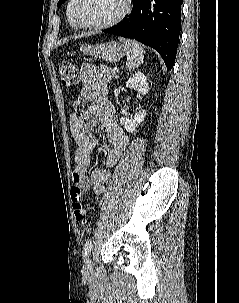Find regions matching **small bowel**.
I'll list each match as a JSON object with an SVG mask.
<instances>
[{"label": "small bowel", "instance_id": "obj_1", "mask_svg": "<svg viewBox=\"0 0 239 303\" xmlns=\"http://www.w3.org/2000/svg\"><path fill=\"white\" fill-rule=\"evenodd\" d=\"M83 86L76 98V104L89 102L90 106L80 116L71 118L72 134L76 145L74 161L76 164L72 175L73 186L83 191L101 195L111 180L110 168L115 166L129 145V138L117 124L113 107L107 97V86L99 71L91 64L81 66ZM100 125L111 148L105 159V167H98L88 175L91 154L98 146L97 138L87 132L93 126Z\"/></svg>", "mask_w": 239, "mask_h": 303}]
</instances>
